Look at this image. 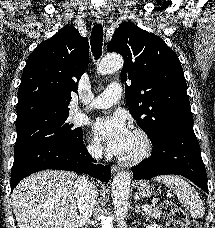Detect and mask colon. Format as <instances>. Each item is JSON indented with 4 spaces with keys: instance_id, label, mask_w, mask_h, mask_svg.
<instances>
[{
    "instance_id": "5ec220e1",
    "label": "colon",
    "mask_w": 215,
    "mask_h": 228,
    "mask_svg": "<svg viewBox=\"0 0 215 228\" xmlns=\"http://www.w3.org/2000/svg\"><path fill=\"white\" fill-rule=\"evenodd\" d=\"M162 212L169 219L171 225L178 228H198L197 223L173 201H165L162 204Z\"/></svg>"
}]
</instances>
